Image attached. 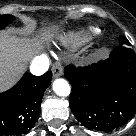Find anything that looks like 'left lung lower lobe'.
Wrapping results in <instances>:
<instances>
[{
  "label": "left lung lower lobe",
  "instance_id": "obj_1",
  "mask_svg": "<svg viewBox=\"0 0 136 136\" xmlns=\"http://www.w3.org/2000/svg\"><path fill=\"white\" fill-rule=\"evenodd\" d=\"M65 77L72 85L70 107L89 129L111 131L136 112V55L119 45L111 59L84 68L68 66Z\"/></svg>",
  "mask_w": 136,
  "mask_h": 136
}]
</instances>
